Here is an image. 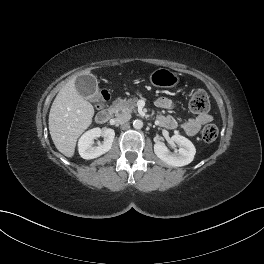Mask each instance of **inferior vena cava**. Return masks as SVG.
Listing matches in <instances>:
<instances>
[{"instance_id": "1", "label": "inferior vena cava", "mask_w": 264, "mask_h": 264, "mask_svg": "<svg viewBox=\"0 0 264 264\" xmlns=\"http://www.w3.org/2000/svg\"><path fill=\"white\" fill-rule=\"evenodd\" d=\"M131 118V116L129 114H122L120 116H118L117 118L114 119L115 123L117 124H124L127 121H129Z\"/></svg>"}]
</instances>
